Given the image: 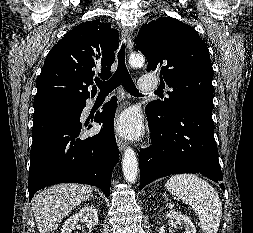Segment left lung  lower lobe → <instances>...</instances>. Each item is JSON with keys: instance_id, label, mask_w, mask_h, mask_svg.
I'll list each match as a JSON object with an SVG mask.
<instances>
[{"instance_id": "left-lung-lower-lobe-1", "label": "left lung lower lobe", "mask_w": 253, "mask_h": 233, "mask_svg": "<svg viewBox=\"0 0 253 233\" xmlns=\"http://www.w3.org/2000/svg\"><path fill=\"white\" fill-rule=\"evenodd\" d=\"M145 112L153 143L140 151V190L157 178L182 173H199L224 190L211 108L181 109L168 123L157 119L148 105Z\"/></svg>"}]
</instances>
